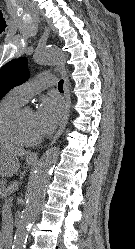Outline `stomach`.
<instances>
[{"mask_svg": "<svg viewBox=\"0 0 135 249\" xmlns=\"http://www.w3.org/2000/svg\"><path fill=\"white\" fill-rule=\"evenodd\" d=\"M28 163L32 164L33 162L29 161ZM18 168V158L6 150L0 149V177L12 176L17 172Z\"/></svg>", "mask_w": 135, "mask_h": 249, "instance_id": "obj_1", "label": "stomach"}]
</instances>
